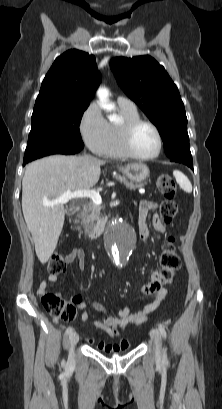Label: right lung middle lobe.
<instances>
[{
	"instance_id": "obj_1",
	"label": "right lung middle lobe",
	"mask_w": 222,
	"mask_h": 409,
	"mask_svg": "<svg viewBox=\"0 0 222 409\" xmlns=\"http://www.w3.org/2000/svg\"><path fill=\"white\" fill-rule=\"evenodd\" d=\"M89 104H61L34 109L24 162L52 154H74L84 144L81 116Z\"/></svg>"
}]
</instances>
